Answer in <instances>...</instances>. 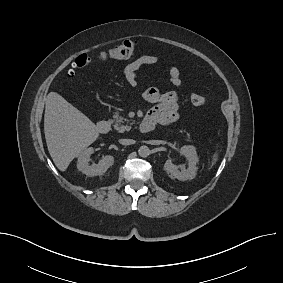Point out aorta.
I'll list each match as a JSON object with an SVG mask.
<instances>
[{
	"instance_id": "762f6f07",
	"label": "aorta",
	"mask_w": 283,
	"mask_h": 283,
	"mask_svg": "<svg viewBox=\"0 0 283 283\" xmlns=\"http://www.w3.org/2000/svg\"><path fill=\"white\" fill-rule=\"evenodd\" d=\"M138 153L140 155V157H148L150 155V149L148 146L146 145H142L139 150H138Z\"/></svg>"
}]
</instances>
